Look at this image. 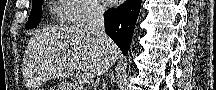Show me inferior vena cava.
<instances>
[{
    "label": "inferior vena cava",
    "mask_w": 216,
    "mask_h": 90,
    "mask_svg": "<svg viewBox=\"0 0 216 90\" xmlns=\"http://www.w3.org/2000/svg\"><path fill=\"white\" fill-rule=\"evenodd\" d=\"M106 10L105 4H98V2L88 8L90 18L87 22V30L92 32L94 36H99L100 46H102V60L104 64L98 68L96 72L98 76H103V74L108 72L110 66H113L112 58H110V42L105 32L104 14ZM102 90H108L106 80H103Z\"/></svg>",
    "instance_id": "obj_1"
}]
</instances>
